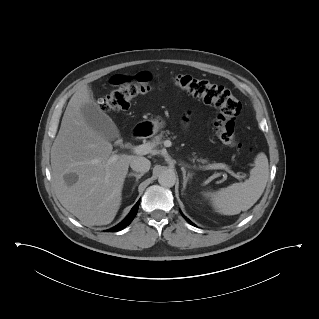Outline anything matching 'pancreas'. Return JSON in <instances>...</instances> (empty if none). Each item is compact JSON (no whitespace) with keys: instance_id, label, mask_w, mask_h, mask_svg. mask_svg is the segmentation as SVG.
Here are the masks:
<instances>
[{"instance_id":"cf45deb5","label":"pancreas","mask_w":319,"mask_h":319,"mask_svg":"<svg viewBox=\"0 0 319 319\" xmlns=\"http://www.w3.org/2000/svg\"><path fill=\"white\" fill-rule=\"evenodd\" d=\"M167 134H169V131H161L160 134L156 135V136L153 138V142H154L155 144H157V145H158V144H161V143H162V139H163L165 136H167ZM192 160H193V161L197 160L198 162H200V163H202V164H204V165H206V166L211 165V164H209V162H208L207 159H203V158H198V159H196V158H193ZM213 164H216V163H213Z\"/></svg>"}]
</instances>
